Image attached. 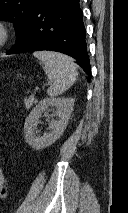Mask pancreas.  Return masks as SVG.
I'll return each instance as SVG.
<instances>
[{
	"mask_svg": "<svg viewBox=\"0 0 128 213\" xmlns=\"http://www.w3.org/2000/svg\"><path fill=\"white\" fill-rule=\"evenodd\" d=\"M38 101L33 97H29V98H25L24 99V105L26 109H29L30 107H32L34 104H36Z\"/></svg>",
	"mask_w": 128,
	"mask_h": 213,
	"instance_id": "obj_1",
	"label": "pancreas"
}]
</instances>
